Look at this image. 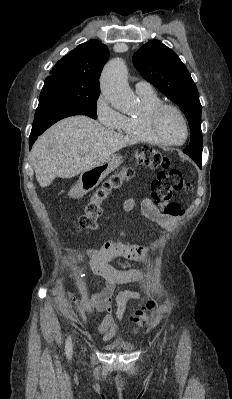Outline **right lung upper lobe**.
<instances>
[{"instance_id":"obj_1","label":"right lung upper lobe","mask_w":232,"mask_h":399,"mask_svg":"<svg viewBox=\"0 0 232 399\" xmlns=\"http://www.w3.org/2000/svg\"><path fill=\"white\" fill-rule=\"evenodd\" d=\"M108 58V47L98 40L91 39L59 60L50 72L52 75L46 80L100 91L98 80Z\"/></svg>"}]
</instances>
